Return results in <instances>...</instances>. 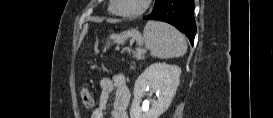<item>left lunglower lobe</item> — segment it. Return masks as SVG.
Returning a JSON list of instances; mask_svg holds the SVG:
<instances>
[{
  "instance_id": "0a47b994",
  "label": "left lung lower lobe",
  "mask_w": 273,
  "mask_h": 118,
  "mask_svg": "<svg viewBox=\"0 0 273 118\" xmlns=\"http://www.w3.org/2000/svg\"><path fill=\"white\" fill-rule=\"evenodd\" d=\"M194 0H162L147 20H159L169 23L182 31L194 43L196 23L194 19Z\"/></svg>"
}]
</instances>
